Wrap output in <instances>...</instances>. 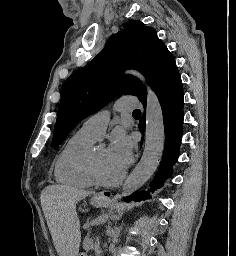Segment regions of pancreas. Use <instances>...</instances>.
I'll return each instance as SVG.
<instances>
[{
  "label": "pancreas",
  "instance_id": "1",
  "mask_svg": "<svg viewBox=\"0 0 236 256\" xmlns=\"http://www.w3.org/2000/svg\"><path fill=\"white\" fill-rule=\"evenodd\" d=\"M92 242H94V239L91 238H83V247L85 248V250H91L92 248Z\"/></svg>",
  "mask_w": 236,
  "mask_h": 256
}]
</instances>
